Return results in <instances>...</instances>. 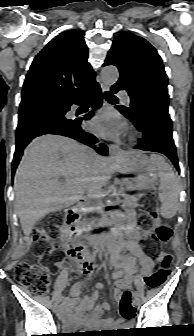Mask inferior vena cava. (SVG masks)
<instances>
[{
  "label": "inferior vena cava",
  "instance_id": "602c4592",
  "mask_svg": "<svg viewBox=\"0 0 194 336\" xmlns=\"http://www.w3.org/2000/svg\"><path fill=\"white\" fill-rule=\"evenodd\" d=\"M90 151V159H89V168L91 170H96L98 168V158L99 156L93 149H89ZM100 178H95L94 185L97 186L99 184ZM97 194H89V198H96Z\"/></svg>",
  "mask_w": 194,
  "mask_h": 336
}]
</instances>
